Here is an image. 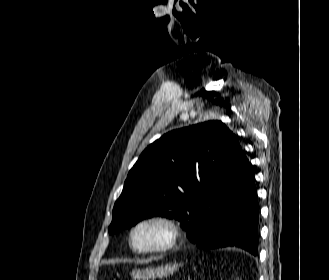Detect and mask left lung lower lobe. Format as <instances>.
<instances>
[{"instance_id":"0a47b994","label":"left lung lower lobe","mask_w":329,"mask_h":280,"mask_svg":"<svg viewBox=\"0 0 329 280\" xmlns=\"http://www.w3.org/2000/svg\"><path fill=\"white\" fill-rule=\"evenodd\" d=\"M232 163V181L202 203L200 221L187 236L199 248L238 247L256 256L259 211L252 167L242 149Z\"/></svg>"}]
</instances>
